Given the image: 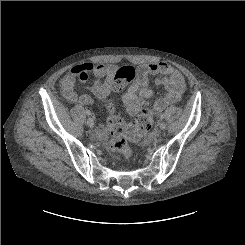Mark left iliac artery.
<instances>
[{
    "label": "left iliac artery",
    "instance_id": "obj_1",
    "mask_svg": "<svg viewBox=\"0 0 245 245\" xmlns=\"http://www.w3.org/2000/svg\"><path fill=\"white\" fill-rule=\"evenodd\" d=\"M164 117H165L164 114H161V115H160V119H161V120L164 119Z\"/></svg>",
    "mask_w": 245,
    "mask_h": 245
}]
</instances>
